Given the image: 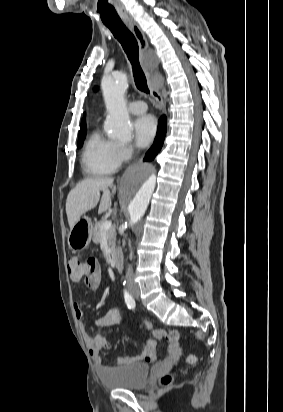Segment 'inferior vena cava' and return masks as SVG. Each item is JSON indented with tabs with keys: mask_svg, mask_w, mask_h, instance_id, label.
Instances as JSON below:
<instances>
[{
	"mask_svg": "<svg viewBox=\"0 0 283 412\" xmlns=\"http://www.w3.org/2000/svg\"><path fill=\"white\" fill-rule=\"evenodd\" d=\"M126 280H127L128 287L135 286L134 273H133V269L131 266H129L127 269Z\"/></svg>",
	"mask_w": 283,
	"mask_h": 412,
	"instance_id": "obj_1",
	"label": "inferior vena cava"
}]
</instances>
